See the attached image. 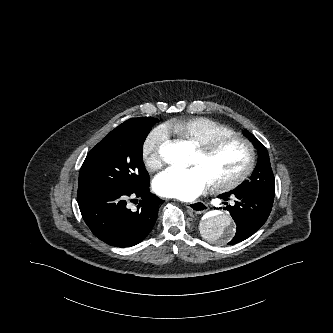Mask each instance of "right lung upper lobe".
Returning <instances> with one entry per match:
<instances>
[{
  "label": "right lung upper lobe",
  "instance_id": "obj_1",
  "mask_svg": "<svg viewBox=\"0 0 333 333\" xmlns=\"http://www.w3.org/2000/svg\"><path fill=\"white\" fill-rule=\"evenodd\" d=\"M141 118V117H140ZM136 118H133V119H129V120H127L126 122H124V123H129V122H132V121H134Z\"/></svg>",
  "mask_w": 333,
  "mask_h": 333
}]
</instances>
